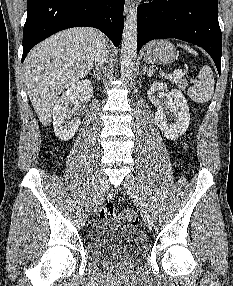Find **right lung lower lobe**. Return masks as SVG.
<instances>
[{
	"instance_id": "right-lung-lower-lobe-1",
	"label": "right lung lower lobe",
	"mask_w": 233,
	"mask_h": 286,
	"mask_svg": "<svg viewBox=\"0 0 233 286\" xmlns=\"http://www.w3.org/2000/svg\"><path fill=\"white\" fill-rule=\"evenodd\" d=\"M125 0H28L22 62L34 45L71 27H95L118 46L124 27Z\"/></svg>"
}]
</instances>
